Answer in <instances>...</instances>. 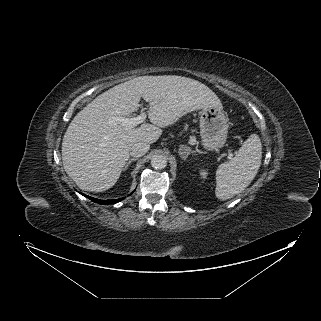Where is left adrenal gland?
Returning a JSON list of instances; mask_svg holds the SVG:
<instances>
[{
  "instance_id": "a2214340",
  "label": "left adrenal gland",
  "mask_w": 321,
  "mask_h": 321,
  "mask_svg": "<svg viewBox=\"0 0 321 321\" xmlns=\"http://www.w3.org/2000/svg\"><path fill=\"white\" fill-rule=\"evenodd\" d=\"M195 153L193 150L190 149V147L186 145H180L179 146V155L182 159L186 160L189 154Z\"/></svg>"
}]
</instances>
